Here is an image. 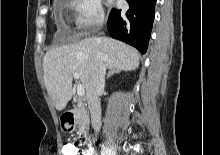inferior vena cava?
Returning a JSON list of instances; mask_svg holds the SVG:
<instances>
[{
    "label": "inferior vena cava",
    "instance_id": "1",
    "mask_svg": "<svg viewBox=\"0 0 220 155\" xmlns=\"http://www.w3.org/2000/svg\"><path fill=\"white\" fill-rule=\"evenodd\" d=\"M102 21L103 18H101V22ZM105 74V55L102 52H99L98 60L94 65L88 86L86 88L88 108L91 114V123L96 132L99 131L101 127V105L99 96L104 91Z\"/></svg>",
    "mask_w": 220,
    "mask_h": 155
}]
</instances>
